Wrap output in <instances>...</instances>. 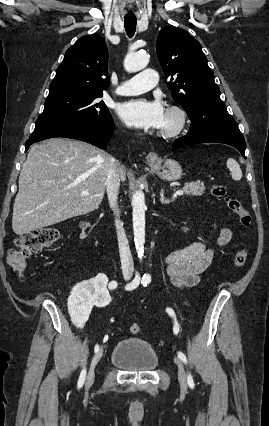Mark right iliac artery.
Returning <instances> with one entry per match:
<instances>
[{
	"mask_svg": "<svg viewBox=\"0 0 269 426\" xmlns=\"http://www.w3.org/2000/svg\"><path fill=\"white\" fill-rule=\"evenodd\" d=\"M139 283H140V275L138 273H136V276L133 279V281L126 285V289L127 290H133V289L138 287ZM116 287H117V283L115 281H112V282L109 283L110 289H115ZM94 351L95 352L99 351V345L98 344L95 345ZM85 377H86V369H83L80 373V376H79L78 388H81L83 386L84 381H85Z\"/></svg>",
	"mask_w": 269,
	"mask_h": 426,
	"instance_id": "82829eb1",
	"label": "right iliac artery"
}]
</instances>
